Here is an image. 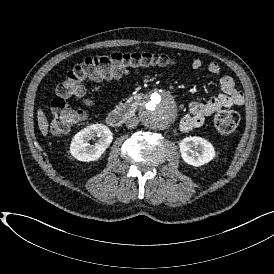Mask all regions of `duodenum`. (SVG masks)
<instances>
[{
    "instance_id": "obj_1",
    "label": "duodenum",
    "mask_w": 274,
    "mask_h": 274,
    "mask_svg": "<svg viewBox=\"0 0 274 274\" xmlns=\"http://www.w3.org/2000/svg\"><path fill=\"white\" fill-rule=\"evenodd\" d=\"M140 101L141 99L138 97L125 99L108 114L107 122L114 127L120 126L122 123L133 116Z\"/></svg>"
}]
</instances>
